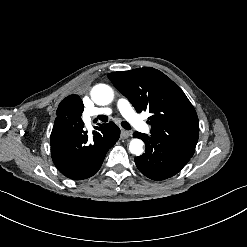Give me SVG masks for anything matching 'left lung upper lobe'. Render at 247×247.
<instances>
[{
  "instance_id": "1",
  "label": "left lung upper lobe",
  "mask_w": 247,
  "mask_h": 247,
  "mask_svg": "<svg viewBox=\"0 0 247 247\" xmlns=\"http://www.w3.org/2000/svg\"><path fill=\"white\" fill-rule=\"evenodd\" d=\"M113 85L137 112L152 115L151 137L193 156L199 137L196 111L184 92L165 74L151 67L109 73Z\"/></svg>"
}]
</instances>
